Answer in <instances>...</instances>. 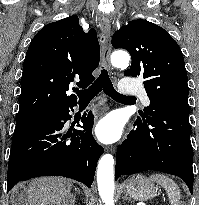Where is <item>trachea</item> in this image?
I'll list each match as a JSON object with an SVG mask.
<instances>
[{"instance_id":"obj_1","label":"trachea","mask_w":199,"mask_h":205,"mask_svg":"<svg viewBox=\"0 0 199 205\" xmlns=\"http://www.w3.org/2000/svg\"><path fill=\"white\" fill-rule=\"evenodd\" d=\"M101 90H103L106 95L115 100H122L131 97L122 95L114 89L108 72L104 68H102L99 77L88 89L76 90L75 92L77 93L79 100L83 101L93 99Z\"/></svg>"}]
</instances>
